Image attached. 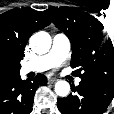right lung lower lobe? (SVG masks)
Segmentation results:
<instances>
[{
  "instance_id": "right-lung-lower-lobe-1",
  "label": "right lung lower lobe",
  "mask_w": 114,
  "mask_h": 114,
  "mask_svg": "<svg viewBox=\"0 0 114 114\" xmlns=\"http://www.w3.org/2000/svg\"><path fill=\"white\" fill-rule=\"evenodd\" d=\"M47 85V78L38 74L31 80H22L19 72L0 83V114H29L33 96L40 86Z\"/></svg>"
}]
</instances>
